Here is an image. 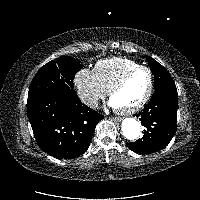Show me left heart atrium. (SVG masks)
I'll return each mask as SVG.
<instances>
[{"label":"left heart atrium","mask_w":200,"mask_h":200,"mask_svg":"<svg viewBox=\"0 0 200 200\" xmlns=\"http://www.w3.org/2000/svg\"><path fill=\"white\" fill-rule=\"evenodd\" d=\"M108 105L113 109H117L118 108L117 105L113 102L112 99L109 100Z\"/></svg>","instance_id":"39dd6f15"}]
</instances>
